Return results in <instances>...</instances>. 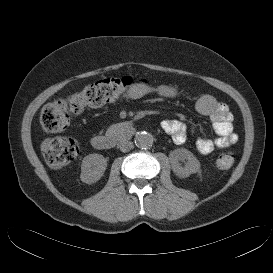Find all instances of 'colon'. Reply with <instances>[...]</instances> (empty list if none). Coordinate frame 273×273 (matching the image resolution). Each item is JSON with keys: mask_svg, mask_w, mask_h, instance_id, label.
Here are the masks:
<instances>
[{"mask_svg": "<svg viewBox=\"0 0 273 273\" xmlns=\"http://www.w3.org/2000/svg\"><path fill=\"white\" fill-rule=\"evenodd\" d=\"M136 84L146 85L145 80L132 77L105 78L98 80L80 91L56 99L41 111L40 124L46 132H60L69 124L71 114H79L87 107H100L127 96ZM42 152L52 168L70 164L78 155V143L69 137H49L42 143ZM230 151L221 152L215 160L218 169L227 170L234 164Z\"/></svg>", "mask_w": 273, "mask_h": 273, "instance_id": "colon-1", "label": "colon"}]
</instances>
